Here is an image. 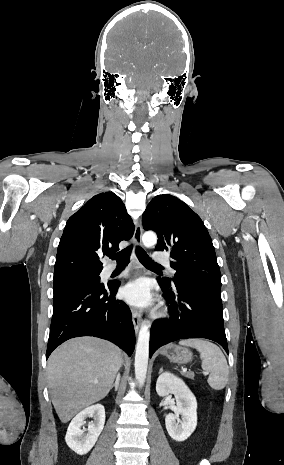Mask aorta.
I'll use <instances>...</instances> for the list:
<instances>
[{
    "label": "aorta",
    "instance_id": "aorta-1",
    "mask_svg": "<svg viewBox=\"0 0 284 465\" xmlns=\"http://www.w3.org/2000/svg\"><path fill=\"white\" fill-rule=\"evenodd\" d=\"M145 247H152L157 243V236L154 232H145L142 236ZM149 326L144 323L139 331L135 354V377L139 387H142L146 380L148 357H149Z\"/></svg>",
    "mask_w": 284,
    "mask_h": 465
}]
</instances>
